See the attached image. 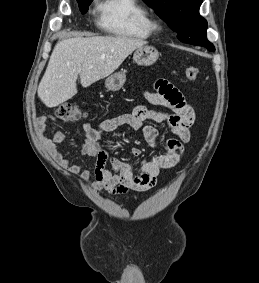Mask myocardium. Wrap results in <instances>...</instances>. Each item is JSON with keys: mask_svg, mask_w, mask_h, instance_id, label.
Listing matches in <instances>:
<instances>
[{"mask_svg": "<svg viewBox=\"0 0 259 283\" xmlns=\"http://www.w3.org/2000/svg\"><path fill=\"white\" fill-rule=\"evenodd\" d=\"M149 26L151 32L155 34H160L164 30V24L157 19H151Z\"/></svg>", "mask_w": 259, "mask_h": 283, "instance_id": "f54148a6", "label": "myocardium"}]
</instances>
